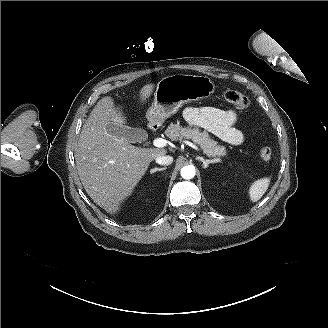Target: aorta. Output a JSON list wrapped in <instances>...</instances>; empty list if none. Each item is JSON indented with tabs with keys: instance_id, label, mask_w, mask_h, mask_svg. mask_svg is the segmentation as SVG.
I'll use <instances>...</instances> for the list:
<instances>
[{
	"instance_id": "1",
	"label": "aorta",
	"mask_w": 328,
	"mask_h": 328,
	"mask_svg": "<svg viewBox=\"0 0 328 328\" xmlns=\"http://www.w3.org/2000/svg\"><path fill=\"white\" fill-rule=\"evenodd\" d=\"M181 176L184 179H192L195 176V168L194 166L188 165V166H184L181 169Z\"/></svg>"
}]
</instances>
